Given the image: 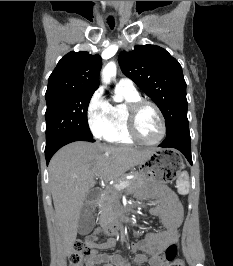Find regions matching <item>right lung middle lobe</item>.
I'll use <instances>...</instances> for the list:
<instances>
[{"instance_id":"right-lung-middle-lobe-1","label":"right lung middle lobe","mask_w":233,"mask_h":266,"mask_svg":"<svg viewBox=\"0 0 233 266\" xmlns=\"http://www.w3.org/2000/svg\"><path fill=\"white\" fill-rule=\"evenodd\" d=\"M93 93L77 92L46 98V148L75 135L92 136L87 109Z\"/></svg>"}]
</instances>
